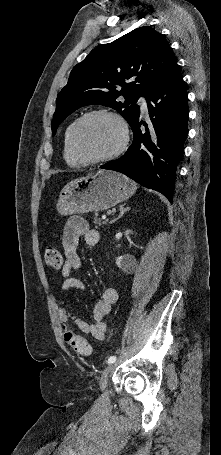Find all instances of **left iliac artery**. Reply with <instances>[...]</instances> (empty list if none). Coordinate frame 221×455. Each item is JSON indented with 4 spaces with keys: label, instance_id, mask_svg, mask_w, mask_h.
I'll return each mask as SVG.
<instances>
[{
    "label": "left iliac artery",
    "instance_id": "44dca946",
    "mask_svg": "<svg viewBox=\"0 0 221 455\" xmlns=\"http://www.w3.org/2000/svg\"><path fill=\"white\" fill-rule=\"evenodd\" d=\"M116 356H111L109 359H108V363H114L116 361Z\"/></svg>",
    "mask_w": 221,
    "mask_h": 455
}]
</instances>
